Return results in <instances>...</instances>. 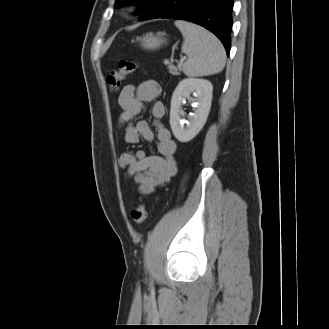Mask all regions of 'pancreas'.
I'll return each instance as SVG.
<instances>
[{"label": "pancreas", "instance_id": "cf45deb5", "mask_svg": "<svg viewBox=\"0 0 329 329\" xmlns=\"http://www.w3.org/2000/svg\"><path fill=\"white\" fill-rule=\"evenodd\" d=\"M167 67L172 75H179V71L182 69V64L180 63L177 67H175L173 64L167 63Z\"/></svg>", "mask_w": 329, "mask_h": 329}]
</instances>
